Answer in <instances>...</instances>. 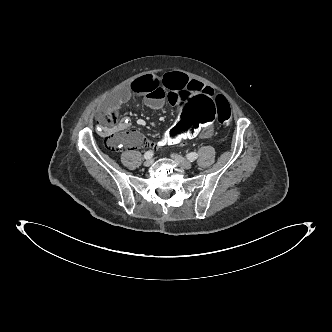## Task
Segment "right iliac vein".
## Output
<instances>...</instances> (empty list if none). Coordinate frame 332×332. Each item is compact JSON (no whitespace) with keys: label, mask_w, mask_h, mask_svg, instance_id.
Masks as SVG:
<instances>
[{"label":"right iliac vein","mask_w":332,"mask_h":332,"mask_svg":"<svg viewBox=\"0 0 332 332\" xmlns=\"http://www.w3.org/2000/svg\"><path fill=\"white\" fill-rule=\"evenodd\" d=\"M152 164H153V159H152V158L147 159V160L144 162V165H145L146 167H149V166H151Z\"/></svg>","instance_id":"1"}]
</instances>
